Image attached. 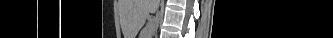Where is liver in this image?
<instances>
[{
	"instance_id": "1",
	"label": "liver",
	"mask_w": 333,
	"mask_h": 38,
	"mask_svg": "<svg viewBox=\"0 0 333 38\" xmlns=\"http://www.w3.org/2000/svg\"><path fill=\"white\" fill-rule=\"evenodd\" d=\"M159 0H123L121 1V11L133 9L135 16V26L139 29L145 22L150 12H155L158 8Z\"/></svg>"
}]
</instances>
